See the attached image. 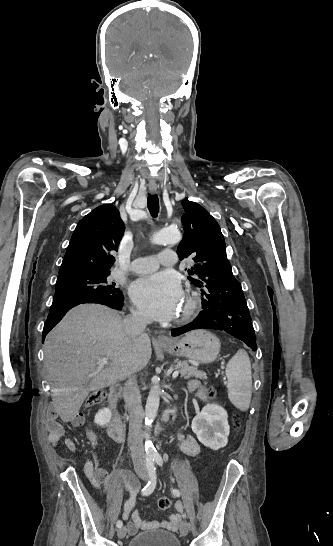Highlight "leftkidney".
Listing matches in <instances>:
<instances>
[{
	"label": "left kidney",
	"instance_id": "5707ae66",
	"mask_svg": "<svg viewBox=\"0 0 333 546\" xmlns=\"http://www.w3.org/2000/svg\"><path fill=\"white\" fill-rule=\"evenodd\" d=\"M198 440L212 450L227 445L230 427L226 410L218 404L205 405L192 421Z\"/></svg>",
	"mask_w": 333,
	"mask_h": 546
}]
</instances>
